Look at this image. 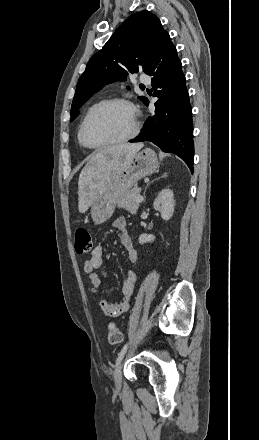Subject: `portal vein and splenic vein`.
Returning <instances> with one entry per match:
<instances>
[{"instance_id": "obj_1", "label": "portal vein and splenic vein", "mask_w": 259, "mask_h": 440, "mask_svg": "<svg viewBox=\"0 0 259 440\" xmlns=\"http://www.w3.org/2000/svg\"><path fill=\"white\" fill-rule=\"evenodd\" d=\"M136 201L139 202V203L142 202L143 201V197L142 196L137 197Z\"/></svg>"}]
</instances>
